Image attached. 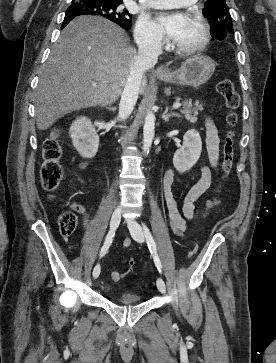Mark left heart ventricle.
<instances>
[{"mask_svg": "<svg viewBox=\"0 0 276 363\" xmlns=\"http://www.w3.org/2000/svg\"><path fill=\"white\" fill-rule=\"evenodd\" d=\"M202 38L201 26L191 17H186L183 29L174 43L179 46L189 47L200 42Z\"/></svg>", "mask_w": 276, "mask_h": 363, "instance_id": "left-heart-ventricle-1", "label": "left heart ventricle"}]
</instances>
